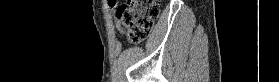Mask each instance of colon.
Returning <instances> with one entry per match:
<instances>
[{
	"mask_svg": "<svg viewBox=\"0 0 279 82\" xmlns=\"http://www.w3.org/2000/svg\"><path fill=\"white\" fill-rule=\"evenodd\" d=\"M159 14V1L124 0L116 12V18L125 28L128 40L136 44L152 32Z\"/></svg>",
	"mask_w": 279,
	"mask_h": 82,
	"instance_id": "1",
	"label": "colon"
}]
</instances>
